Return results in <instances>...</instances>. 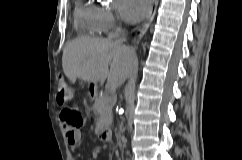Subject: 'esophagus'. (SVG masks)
Segmentation results:
<instances>
[{
    "label": "esophagus",
    "mask_w": 242,
    "mask_h": 160,
    "mask_svg": "<svg viewBox=\"0 0 242 160\" xmlns=\"http://www.w3.org/2000/svg\"><path fill=\"white\" fill-rule=\"evenodd\" d=\"M157 5H158V0H152L151 3V7H150V11L149 14L143 24V27L147 26L153 19L156 13V9H157Z\"/></svg>",
    "instance_id": "1"
}]
</instances>
